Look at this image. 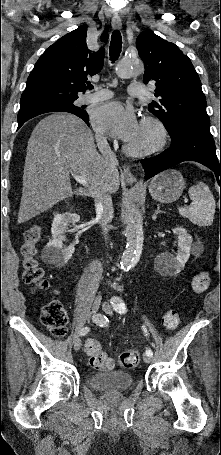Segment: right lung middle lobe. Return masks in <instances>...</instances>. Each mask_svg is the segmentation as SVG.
Returning <instances> with one entry per match:
<instances>
[{"mask_svg": "<svg viewBox=\"0 0 221 455\" xmlns=\"http://www.w3.org/2000/svg\"><path fill=\"white\" fill-rule=\"evenodd\" d=\"M76 99L77 98L63 100V101L57 102L55 104H52L48 107L40 108V109H34V110H21L20 109V111L18 113V117L21 115L27 114L29 112L39 111V110H49V111H54V112L55 111H66V112L75 114L80 117H86L87 116L86 111L83 110L82 108L76 107L73 104Z\"/></svg>", "mask_w": 221, "mask_h": 455, "instance_id": "1", "label": "right lung middle lobe"}]
</instances>
